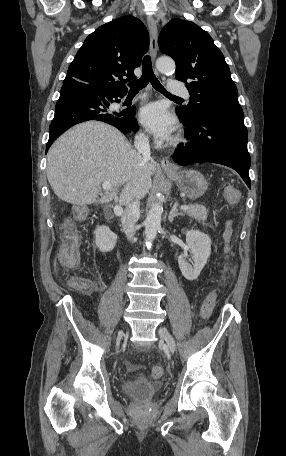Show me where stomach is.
Returning <instances> with one entry per match:
<instances>
[{
	"mask_svg": "<svg viewBox=\"0 0 286 456\" xmlns=\"http://www.w3.org/2000/svg\"><path fill=\"white\" fill-rule=\"evenodd\" d=\"M177 187L192 200L201 197L208 188L204 176L196 170H184L177 174H169Z\"/></svg>",
	"mask_w": 286,
	"mask_h": 456,
	"instance_id": "obj_1",
	"label": "stomach"
}]
</instances>
